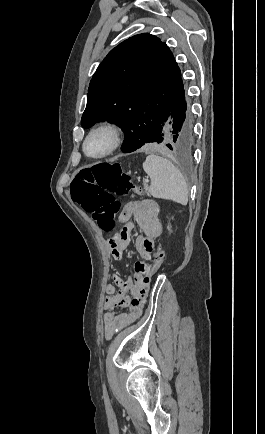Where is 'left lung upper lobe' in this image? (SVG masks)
Here are the masks:
<instances>
[{
  "mask_svg": "<svg viewBox=\"0 0 265 434\" xmlns=\"http://www.w3.org/2000/svg\"><path fill=\"white\" fill-rule=\"evenodd\" d=\"M184 90L180 69L159 38L135 35L110 51L88 89L81 126L96 122L118 125L125 137L154 128Z\"/></svg>",
  "mask_w": 265,
  "mask_h": 434,
  "instance_id": "1",
  "label": "left lung upper lobe"
}]
</instances>
